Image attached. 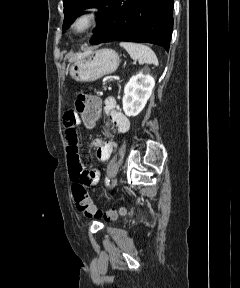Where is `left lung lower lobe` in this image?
<instances>
[{"label": "left lung lower lobe", "instance_id": "left-lung-lower-lobe-1", "mask_svg": "<svg viewBox=\"0 0 240 288\" xmlns=\"http://www.w3.org/2000/svg\"><path fill=\"white\" fill-rule=\"evenodd\" d=\"M173 0H110L89 42H147L169 49Z\"/></svg>", "mask_w": 240, "mask_h": 288}]
</instances>
